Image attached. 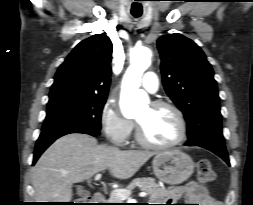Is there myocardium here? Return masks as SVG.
<instances>
[{
  "label": "myocardium",
  "instance_id": "myocardium-1",
  "mask_svg": "<svg viewBox=\"0 0 253 205\" xmlns=\"http://www.w3.org/2000/svg\"><path fill=\"white\" fill-rule=\"evenodd\" d=\"M151 107L152 108H167L171 110L179 123V135L178 137L167 144H156L152 143L149 140L145 138L143 135V132L141 130V127L137 121H135V137L136 141L143 147L148 148V149H153V150H166V149H171L174 148L178 145H180L184 140L186 139L187 136V122L185 119V116L181 109L176 106L175 104L168 102V101H163V100H156L151 102Z\"/></svg>",
  "mask_w": 253,
  "mask_h": 205
}]
</instances>
